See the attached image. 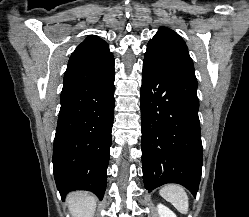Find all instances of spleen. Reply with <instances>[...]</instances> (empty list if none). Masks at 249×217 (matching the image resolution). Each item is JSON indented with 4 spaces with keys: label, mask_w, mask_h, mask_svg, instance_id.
I'll list each match as a JSON object with an SVG mask.
<instances>
[{
    "label": "spleen",
    "mask_w": 249,
    "mask_h": 217,
    "mask_svg": "<svg viewBox=\"0 0 249 217\" xmlns=\"http://www.w3.org/2000/svg\"><path fill=\"white\" fill-rule=\"evenodd\" d=\"M160 195L170 202L179 212L187 214L189 199L185 189L178 184H167L159 191Z\"/></svg>",
    "instance_id": "spleen-1"
}]
</instances>
